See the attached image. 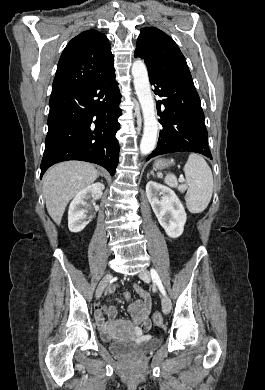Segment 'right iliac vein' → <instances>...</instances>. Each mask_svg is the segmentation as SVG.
<instances>
[{"instance_id": "63e3f726", "label": "right iliac vein", "mask_w": 265, "mask_h": 390, "mask_svg": "<svg viewBox=\"0 0 265 390\" xmlns=\"http://www.w3.org/2000/svg\"><path fill=\"white\" fill-rule=\"evenodd\" d=\"M112 279V274H106L104 276V278L102 279V281L100 282L98 288H97V291H96V297L97 299L101 297L104 289L106 288L108 282Z\"/></svg>"}]
</instances>
